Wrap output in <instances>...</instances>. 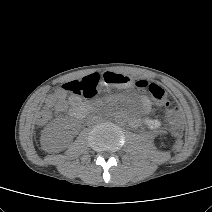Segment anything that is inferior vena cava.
Masks as SVG:
<instances>
[{"label": "inferior vena cava", "instance_id": "obj_1", "mask_svg": "<svg viewBox=\"0 0 212 212\" xmlns=\"http://www.w3.org/2000/svg\"><path fill=\"white\" fill-rule=\"evenodd\" d=\"M96 120H97L96 117L91 116V117L88 118V123H93Z\"/></svg>", "mask_w": 212, "mask_h": 212}]
</instances>
